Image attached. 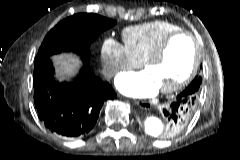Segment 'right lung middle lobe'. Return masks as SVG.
I'll use <instances>...</instances> for the list:
<instances>
[{
    "label": "right lung middle lobe",
    "instance_id": "right-lung-middle-lobe-1",
    "mask_svg": "<svg viewBox=\"0 0 240 160\" xmlns=\"http://www.w3.org/2000/svg\"><path fill=\"white\" fill-rule=\"evenodd\" d=\"M116 21L93 13H79L60 21L44 38L35 63L62 51L78 53L84 64L90 59L91 43Z\"/></svg>",
    "mask_w": 240,
    "mask_h": 160
}]
</instances>
